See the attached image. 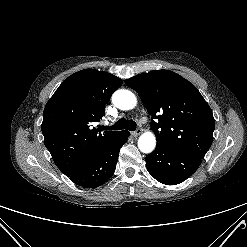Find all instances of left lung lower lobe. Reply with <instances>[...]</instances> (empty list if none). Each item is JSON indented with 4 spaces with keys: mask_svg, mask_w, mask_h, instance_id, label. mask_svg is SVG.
Listing matches in <instances>:
<instances>
[{
    "mask_svg": "<svg viewBox=\"0 0 247 247\" xmlns=\"http://www.w3.org/2000/svg\"><path fill=\"white\" fill-rule=\"evenodd\" d=\"M201 159L184 154L163 145L146 156L148 172L159 182L175 185L189 178L200 166Z\"/></svg>",
    "mask_w": 247,
    "mask_h": 247,
    "instance_id": "obj_1",
    "label": "left lung lower lobe"
}]
</instances>
